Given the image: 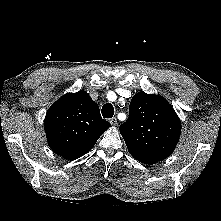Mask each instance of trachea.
<instances>
[{"mask_svg":"<svg viewBox=\"0 0 221 221\" xmlns=\"http://www.w3.org/2000/svg\"><path fill=\"white\" fill-rule=\"evenodd\" d=\"M114 115V107L110 104L107 103L102 107V116L104 118H112Z\"/></svg>","mask_w":221,"mask_h":221,"instance_id":"3493384b","label":"trachea"}]
</instances>
